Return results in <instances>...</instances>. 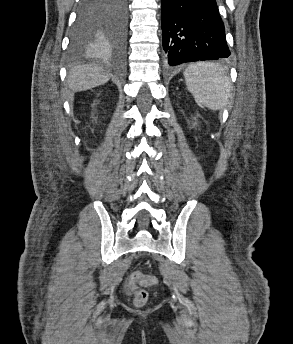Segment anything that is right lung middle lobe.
Instances as JSON below:
<instances>
[{
  "mask_svg": "<svg viewBox=\"0 0 293 344\" xmlns=\"http://www.w3.org/2000/svg\"><path fill=\"white\" fill-rule=\"evenodd\" d=\"M105 13L87 10L80 5L78 18L73 28L72 46L74 49H81L94 44H100L102 36L107 37V44L112 46V40L107 34L105 28L112 25L118 16V7L116 5H106Z\"/></svg>",
  "mask_w": 293,
  "mask_h": 344,
  "instance_id": "1",
  "label": "right lung middle lobe"
}]
</instances>
